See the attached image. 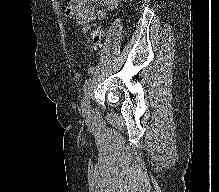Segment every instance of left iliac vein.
<instances>
[{
	"mask_svg": "<svg viewBox=\"0 0 219 192\" xmlns=\"http://www.w3.org/2000/svg\"><path fill=\"white\" fill-rule=\"evenodd\" d=\"M82 112L84 117H88L91 113L90 100L85 98L82 102Z\"/></svg>",
	"mask_w": 219,
	"mask_h": 192,
	"instance_id": "left-iliac-vein-1",
	"label": "left iliac vein"
}]
</instances>
